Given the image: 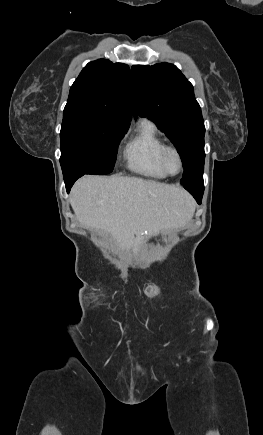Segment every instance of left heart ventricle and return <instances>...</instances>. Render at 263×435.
I'll use <instances>...</instances> for the list:
<instances>
[{
    "instance_id": "b2bd125f",
    "label": "left heart ventricle",
    "mask_w": 263,
    "mask_h": 435,
    "mask_svg": "<svg viewBox=\"0 0 263 435\" xmlns=\"http://www.w3.org/2000/svg\"><path fill=\"white\" fill-rule=\"evenodd\" d=\"M166 164L168 169L172 172V173H176L179 170V160L177 158V156L174 153H169L166 157Z\"/></svg>"
}]
</instances>
